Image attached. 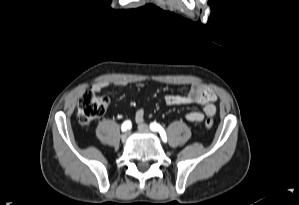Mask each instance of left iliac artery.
<instances>
[{
  "instance_id": "1",
  "label": "left iliac artery",
  "mask_w": 299,
  "mask_h": 205,
  "mask_svg": "<svg viewBox=\"0 0 299 205\" xmlns=\"http://www.w3.org/2000/svg\"><path fill=\"white\" fill-rule=\"evenodd\" d=\"M150 129L154 132H158L164 142L167 141L166 132L159 124L156 122L151 123Z\"/></svg>"
}]
</instances>
